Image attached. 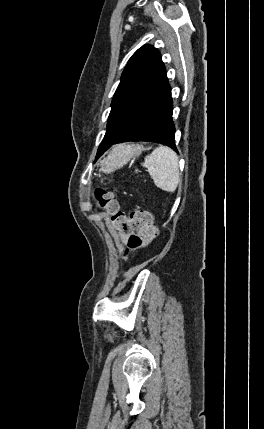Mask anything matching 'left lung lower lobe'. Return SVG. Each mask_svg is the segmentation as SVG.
<instances>
[{
	"label": "left lung lower lobe",
	"instance_id": "1",
	"mask_svg": "<svg viewBox=\"0 0 264 429\" xmlns=\"http://www.w3.org/2000/svg\"><path fill=\"white\" fill-rule=\"evenodd\" d=\"M172 110L171 88L165 74L160 83L139 103L121 135L107 147L99 149L97 157L112 145L126 141L162 143L177 152Z\"/></svg>",
	"mask_w": 264,
	"mask_h": 429
}]
</instances>
